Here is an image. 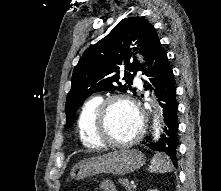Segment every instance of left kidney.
<instances>
[{"label":"left kidney","instance_id":"left-kidney-1","mask_svg":"<svg viewBox=\"0 0 221 191\" xmlns=\"http://www.w3.org/2000/svg\"><path fill=\"white\" fill-rule=\"evenodd\" d=\"M148 191H159V190H157V189H153V190H148Z\"/></svg>","mask_w":221,"mask_h":191}]
</instances>
